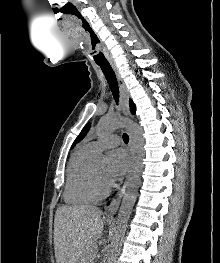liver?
<instances>
[{
  "mask_svg": "<svg viewBox=\"0 0 220 263\" xmlns=\"http://www.w3.org/2000/svg\"><path fill=\"white\" fill-rule=\"evenodd\" d=\"M104 221L94 206H61L54 220L56 263H90Z\"/></svg>",
  "mask_w": 220,
  "mask_h": 263,
  "instance_id": "1",
  "label": "liver"
}]
</instances>
